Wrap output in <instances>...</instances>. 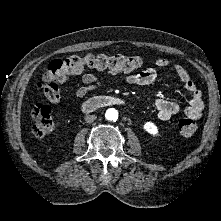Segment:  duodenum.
Returning a JSON list of instances; mask_svg holds the SVG:
<instances>
[{"label":"duodenum","mask_w":221,"mask_h":221,"mask_svg":"<svg viewBox=\"0 0 221 221\" xmlns=\"http://www.w3.org/2000/svg\"><path fill=\"white\" fill-rule=\"evenodd\" d=\"M125 104H127V102L121 97L98 96V97L90 98L87 101H85L83 105V109L86 112H91L93 110L101 109L109 105H125Z\"/></svg>","instance_id":"1"}]
</instances>
